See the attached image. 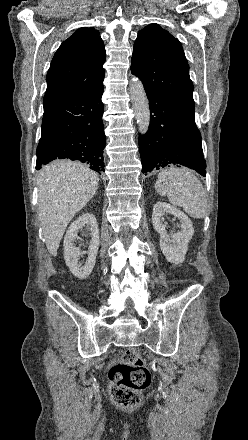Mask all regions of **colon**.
Masks as SVG:
<instances>
[{"label":"colon","instance_id":"5ec220e1","mask_svg":"<svg viewBox=\"0 0 248 440\" xmlns=\"http://www.w3.org/2000/svg\"><path fill=\"white\" fill-rule=\"evenodd\" d=\"M109 380L114 404L132 410L141 405L142 392L149 386L151 374L139 352L129 348L123 353L122 361L111 367Z\"/></svg>","mask_w":248,"mask_h":440}]
</instances>
